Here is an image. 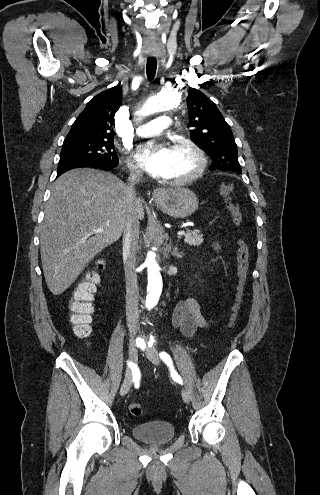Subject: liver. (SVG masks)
Instances as JSON below:
<instances>
[{"instance_id": "obj_1", "label": "liver", "mask_w": 320, "mask_h": 495, "mask_svg": "<svg viewBox=\"0 0 320 495\" xmlns=\"http://www.w3.org/2000/svg\"><path fill=\"white\" fill-rule=\"evenodd\" d=\"M134 205L144 219L141 200ZM127 206L126 185L106 172L79 168L54 182L40 231L41 262L52 294L67 290L97 253L121 237Z\"/></svg>"}]
</instances>
